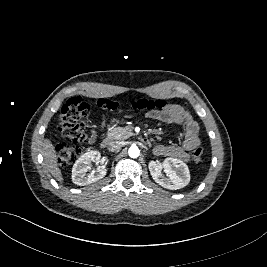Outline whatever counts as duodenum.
<instances>
[{
	"mask_svg": "<svg viewBox=\"0 0 267 267\" xmlns=\"http://www.w3.org/2000/svg\"><path fill=\"white\" fill-rule=\"evenodd\" d=\"M143 142H144L145 144H148V143H149V139H148V138H144V139H143ZM109 143H110V139H109L108 137H105V138H103V139L100 141V147H101V148H105V147L108 146Z\"/></svg>",
	"mask_w": 267,
	"mask_h": 267,
	"instance_id": "duodenum-1",
	"label": "duodenum"
}]
</instances>
